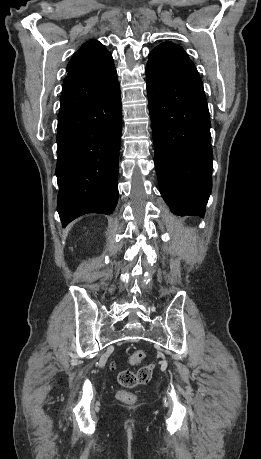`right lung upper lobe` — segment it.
I'll use <instances>...</instances> for the list:
<instances>
[{
    "mask_svg": "<svg viewBox=\"0 0 261 459\" xmlns=\"http://www.w3.org/2000/svg\"><path fill=\"white\" fill-rule=\"evenodd\" d=\"M118 83L111 53L96 40L84 43L67 65L58 118L97 101Z\"/></svg>",
    "mask_w": 261,
    "mask_h": 459,
    "instance_id": "1",
    "label": "right lung upper lobe"
}]
</instances>
